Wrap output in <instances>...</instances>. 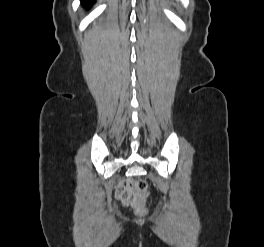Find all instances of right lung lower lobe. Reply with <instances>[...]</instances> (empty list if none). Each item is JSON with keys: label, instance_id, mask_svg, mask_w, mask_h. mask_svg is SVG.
I'll use <instances>...</instances> for the list:
<instances>
[{"label": "right lung lower lobe", "instance_id": "98d812e1", "mask_svg": "<svg viewBox=\"0 0 264 247\" xmlns=\"http://www.w3.org/2000/svg\"><path fill=\"white\" fill-rule=\"evenodd\" d=\"M81 2L84 7L90 8L95 2V0H81Z\"/></svg>", "mask_w": 264, "mask_h": 247}]
</instances>
